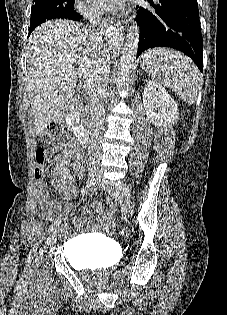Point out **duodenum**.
I'll list each match as a JSON object with an SVG mask.
<instances>
[{
    "label": "duodenum",
    "instance_id": "obj_1",
    "mask_svg": "<svg viewBox=\"0 0 227 315\" xmlns=\"http://www.w3.org/2000/svg\"><path fill=\"white\" fill-rule=\"evenodd\" d=\"M66 122L73 128L77 142L82 146L88 145V130L82 113L77 106H73L70 109L66 117Z\"/></svg>",
    "mask_w": 227,
    "mask_h": 315
}]
</instances>
